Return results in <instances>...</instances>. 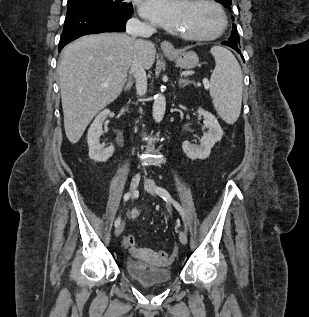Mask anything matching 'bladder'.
Instances as JSON below:
<instances>
[{
  "instance_id": "bladder-1",
  "label": "bladder",
  "mask_w": 309,
  "mask_h": 317,
  "mask_svg": "<svg viewBox=\"0 0 309 317\" xmlns=\"http://www.w3.org/2000/svg\"><path fill=\"white\" fill-rule=\"evenodd\" d=\"M126 274L135 282L146 288L168 284L172 281L171 269L144 261L127 258L124 263Z\"/></svg>"
}]
</instances>
